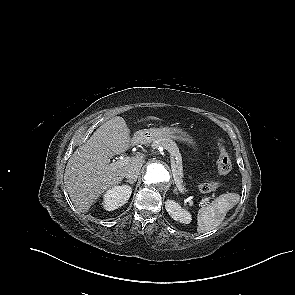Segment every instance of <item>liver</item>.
<instances>
[{"label":"liver","mask_w":295,"mask_h":295,"mask_svg":"<svg viewBox=\"0 0 295 295\" xmlns=\"http://www.w3.org/2000/svg\"><path fill=\"white\" fill-rule=\"evenodd\" d=\"M146 120H158L148 116ZM140 131V130H139ZM130 140V131L122 117L116 116L102 124L85 144L78 147L68 160L64 181L67 192L80 212H88L90 207L113 186L121 183L128 167L141 169L144 157L137 155L123 165L110 163V158L126 152L130 143H139L137 133Z\"/></svg>","instance_id":"liver-1"}]
</instances>
